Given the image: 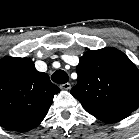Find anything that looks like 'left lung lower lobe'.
Returning a JSON list of instances; mask_svg holds the SVG:
<instances>
[{
    "instance_id": "obj_1",
    "label": "left lung lower lobe",
    "mask_w": 139,
    "mask_h": 139,
    "mask_svg": "<svg viewBox=\"0 0 139 139\" xmlns=\"http://www.w3.org/2000/svg\"><path fill=\"white\" fill-rule=\"evenodd\" d=\"M127 116L124 115H118V116H102V117H98L100 120H103L105 122H115V121H119L122 120L123 118H125Z\"/></svg>"
}]
</instances>
